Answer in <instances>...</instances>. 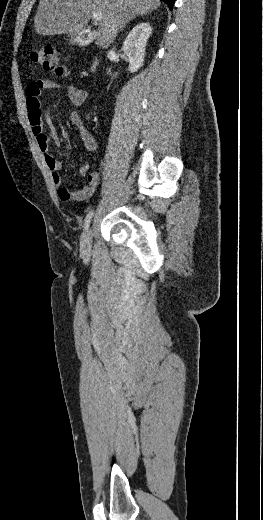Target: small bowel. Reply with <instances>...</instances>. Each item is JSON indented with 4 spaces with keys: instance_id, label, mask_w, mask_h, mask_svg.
I'll list each match as a JSON object with an SVG mask.
<instances>
[{
    "instance_id": "small-bowel-1",
    "label": "small bowel",
    "mask_w": 263,
    "mask_h": 520,
    "mask_svg": "<svg viewBox=\"0 0 263 520\" xmlns=\"http://www.w3.org/2000/svg\"><path fill=\"white\" fill-rule=\"evenodd\" d=\"M62 89L71 103L75 106L83 105L88 99L87 91L77 88L71 84L59 83L49 79H36L31 81L26 87V104L28 110V119L31 130L41 153L43 154L44 162L51 172V177L54 185L57 187L58 195L62 201H86L90 199L100 181V173L92 172L87 176V185L77 191H71L63 185V178L60 174L62 169L61 162L56 159L49 152V141L60 146L61 141L57 132L51 126L49 111L42 109L41 95L44 90ZM70 120L77 128L79 135L90 152H94L97 148L95 138L85 126L78 112L70 114ZM49 126V133H45L44 125ZM89 165L85 163L80 168V174L86 175Z\"/></svg>"
}]
</instances>
